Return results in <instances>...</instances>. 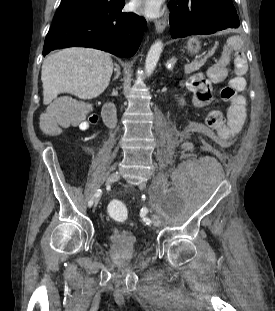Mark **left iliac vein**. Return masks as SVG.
<instances>
[{"instance_id": "1", "label": "left iliac vein", "mask_w": 275, "mask_h": 311, "mask_svg": "<svg viewBox=\"0 0 275 311\" xmlns=\"http://www.w3.org/2000/svg\"><path fill=\"white\" fill-rule=\"evenodd\" d=\"M151 219L154 226L159 227L161 225V220L156 214H152Z\"/></svg>"}]
</instances>
